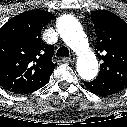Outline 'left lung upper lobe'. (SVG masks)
Wrapping results in <instances>:
<instances>
[{
  "label": "left lung upper lobe",
  "mask_w": 127,
  "mask_h": 127,
  "mask_svg": "<svg viewBox=\"0 0 127 127\" xmlns=\"http://www.w3.org/2000/svg\"><path fill=\"white\" fill-rule=\"evenodd\" d=\"M97 43L95 51L100 65V77L127 87V23L107 10L92 12Z\"/></svg>",
  "instance_id": "obj_1"
}]
</instances>
